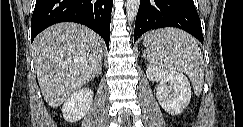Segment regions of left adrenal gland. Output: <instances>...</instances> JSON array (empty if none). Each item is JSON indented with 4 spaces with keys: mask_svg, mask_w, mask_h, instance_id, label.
Returning <instances> with one entry per match:
<instances>
[{
    "mask_svg": "<svg viewBox=\"0 0 243 127\" xmlns=\"http://www.w3.org/2000/svg\"><path fill=\"white\" fill-rule=\"evenodd\" d=\"M143 58H146V53L145 52L143 53Z\"/></svg>",
    "mask_w": 243,
    "mask_h": 127,
    "instance_id": "a2214340",
    "label": "left adrenal gland"
}]
</instances>
